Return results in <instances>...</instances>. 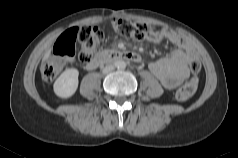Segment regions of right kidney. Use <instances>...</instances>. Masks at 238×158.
<instances>
[{
	"instance_id": "obj_1",
	"label": "right kidney",
	"mask_w": 238,
	"mask_h": 158,
	"mask_svg": "<svg viewBox=\"0 0 238 158\" xmlns=\"http://www.w3.org/2000/svg\"><path fill=\"white\" fill-rule=\"evenodd\" d=\"M79 72L75 68L66 69L53 85L54 93L60 98H70L78 88Z\"/></svg>"
}]
</instances>
